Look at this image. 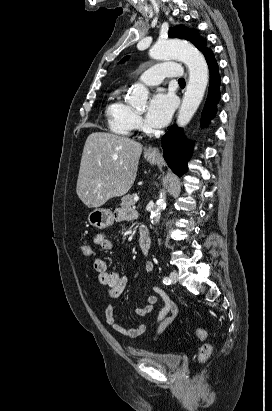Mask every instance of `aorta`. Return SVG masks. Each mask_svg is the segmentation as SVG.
Wrapping results in <instances>:
<instances>
[{"instance_id":"obj_1","label":"aorta","mask_w":272,"mask_h":411,"mask_svg":"<svg viewBox=\"0 0 272 411\" xmlns=\"http://www.w3.org/2000/svg\"><path fill=\"white\" fill-rule=\"evenodd\" d=\"M150 56L157 60L178 58L188 66L189 81L177 116L178 126L184 127L198 109L208 84L209 70L205 58L193 45L175 39L158 41L150 50ZM127 99L132 106L142 108L146 105L148 90L141 84H135L129 89ZM165 199L163 191L151 214L155 222L160 219Z\"/></svg>"}]
</instances>
